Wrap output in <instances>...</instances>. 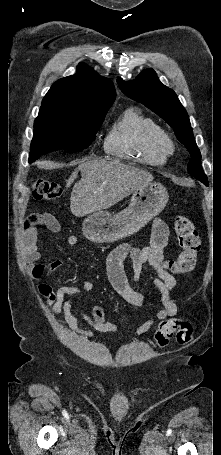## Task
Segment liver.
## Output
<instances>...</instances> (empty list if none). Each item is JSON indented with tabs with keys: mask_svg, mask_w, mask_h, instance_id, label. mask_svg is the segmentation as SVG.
Segmentation results:
<instances>
[{
	"mask_svg": "<svg viewBox=\"0 0 221 455\" xmlns=\"http://www.w3.org/2000/svg\"><path fill=\"white\" fill-rule=\"evenodd\" d=\"M78 171H81V179L75 183L70 199L71 212L77 217L107 209L153 180L149 172L117 160H87L69 177L67 188Z\"/></svg>",
	"mask_w": 221,
	"mask_h": 455,
	"instance_id": "liver-1",
	"label": "liver"
}]
</instances>
